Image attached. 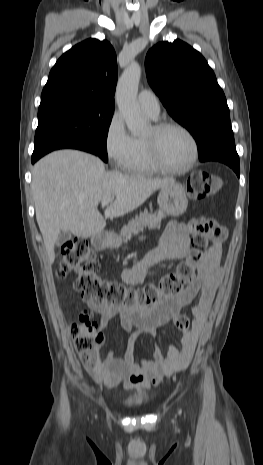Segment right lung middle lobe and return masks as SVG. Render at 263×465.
Masks as SVG:
<instances>
[{"mask_svg": "<svg viewBox=\"0 0 263 465\" xmlns=\"http://www.w3.org/2000/svg\"><path fill=\"white\" fill-rule=\"evenodd\" d=\"M114 107L99 103L55 99L41 103L35 133L34 154L62 140H76L108 161L106 140Z\"/></svg>", "mask_w": 263, "mask_h": 465, "instance_id": "1", "label": "right lung middle lobe"}]
</instances>
